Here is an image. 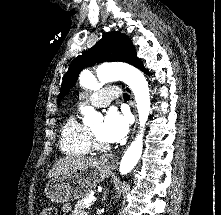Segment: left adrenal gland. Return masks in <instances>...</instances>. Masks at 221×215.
Here are the masks:
<instances>
[{
    "label": "left adrenal gland",
    "mask_w": 221,
    "mask_h": 215,
    "mask_svg": "<svg viewBox=\"0 0 221 215\" xmlns=\"http://www.w3.org/2000/svg\"><path fill=\"white\" fill-rule=\"evenodd\" d=\"M107 198V192L105 191L104 194H103V198H102V201H105Z\"/></svg>",
    "instance_id": "left-adrenal-gland-1"
}]
</instances>
